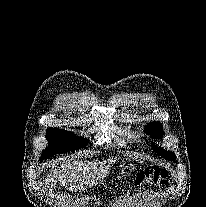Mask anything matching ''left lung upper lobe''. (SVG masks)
I'll use <instances>...</instances> for the list:
<instances>
[{
	"mask_svg": "<svg viewBox=\"0 0 206 207\" xmlns=\"http://www.w3.org/2000/svg\"><path fill=\"white\" fill-rule=\"evenodd\" d=\"M145 132L150 134L153 138L160 139L162 136V133H163L162 124L159 122L150 123L145 127ZM152 147H153L154 151L157 152L162 157H164L170 161L175 159L174 153L167 152L164 149H162L156 145H153Z\"/></svg>",
	"mask_w": 206,
	"mask_h": 207,
	"instance_id": "5c2ea615",
	"label": "left lung upper lobe"
}]
</instances>
